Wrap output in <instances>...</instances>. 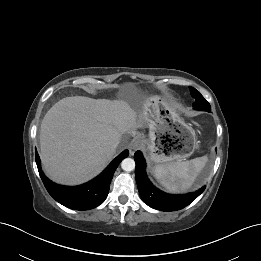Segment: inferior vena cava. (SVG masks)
<instances>
[{"label":"inferior vena cava","instance_id":"obj_1","mask_svg":"<svg viewBox=\"0 0 261 261\" xmlns=\"http://www.w3.org/2000/svg\"><path fill=\"white\" fill-rule=\"evenodd\" d=\"M118 144H119V142H116V143L114 144V146H115V147H117V146H118Z\"/></svg>","mask_w":261,"mask_h":261}]
</instances>
